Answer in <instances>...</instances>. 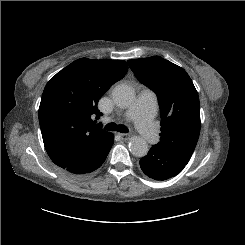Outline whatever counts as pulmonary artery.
<instances>
[{"mask_svg": "<svg viewBox=\"0 0 245 245\" xmlns=\"http://www.w3.org/2000/svg\"><path fill=\"white\" fill-rule=\"evenodd\" d=\"M157 107L156 94L148 89H143L134 102L121 112L124 120L132 121L136 124L140 131L142 139L153 145L157 141L156 124L154 123V115Z\"/></svg>", "mask_w": 245, "mask_h": 245, "instance_id": "obj_1", "label": "pulmonary artery"}]
</instances>
